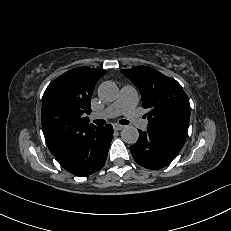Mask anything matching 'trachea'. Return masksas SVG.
I'll return each mask as SVG.
<instances>
[{
	"label": "trachea",
	"mask_w": 231,
	"mask_h": 231,
	"mask_svg": "<svg viewBox=\"0 0 231 231\" xmlns=\"http://www.w3.org/2000/svg\"><path fill=\"white\" fill-rule=\"evenodd\" d=\"M96 125H105L106 124V121L105 120H94L93 121ZM119 123L120 124H122V125H127V124H129V121L128 120H124V119H122V120H120L119 121Z\"/></svg>",
	"instance_id": "3493384b"
}]
</instances>
